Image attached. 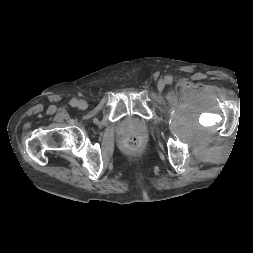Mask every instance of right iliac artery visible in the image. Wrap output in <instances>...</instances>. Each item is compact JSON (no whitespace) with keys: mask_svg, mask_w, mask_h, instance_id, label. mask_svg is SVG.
I'll use <instances>...</instances> for the list:
<instances>
[{"mask_svg":"<svg viewBox=\"0 0 253 253\" xmlns=\"http://www.w3.org/2000/svg\"><path fill=\"white\" fill-rule=\"evenodd\" d=\"M70 105L76 107L78 105V100L76 98L71 99Z\"/></svg>","mask_w":253,"mask_h":253,"instance_id":"1","label":"right iliac artery"}]
</instances>
